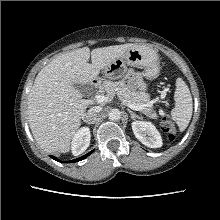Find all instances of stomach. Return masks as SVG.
Masks as SVG:
<instances>
[{
	"label": "stomach",
	"instance_id": "stomach-1",
	"mask_svg": "<svg viewBox=\"0 0 220 220\" xmlns=\"http://www.w3.org/2000/svg\"><path fill=\"white\" fill-rule=\"evenodd\" d=\"M127 66L144 68V77L155 79L160 71L158 53L150 47L136 45L106 66L102 70L103 77L112 80L124 78L128 72Z\"/></svg>",
	"mask_w": 220,
	"mask_h": 220
}]
</instances>
